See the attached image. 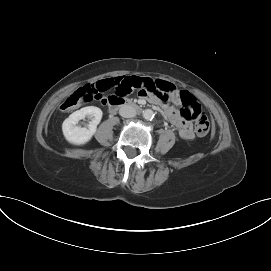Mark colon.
Instances as JSON below:
<instances>
[{"label": "colon", "instance_id": "colon-1", "mask_svg": "<svg viewBox=\"0 0 271 271\" xmlns=\"http://www.w3.org/2000/svg\"><path fill=\"white\" fill-rule=\"evenodd\" d=\"M159 89H164L159 86ZM102 89L99 93L104 92ZM99 94L93 88L84 86L74 91L61 105V110L70 111L82 103L88 102L94 98H98ZM116 97V94L110 96L108 100ZM179 104L181 105L180 114L184 120H193L195 122V130L199 136H205L210 130V122L207 115L202 112L201 107L195 97L187 91L179 92Z\"/></svg>", "mask_w": 271, "mask_h": 271}]
</instances>
